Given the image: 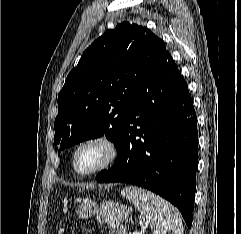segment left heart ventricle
Returning a JSON list of instances; mask_svg holds the SVG:
<instances>
[{"label":"left heart ventricle","mask_w":241,"mask_h":234,"mask_svg":"<svg viewBox=\"0 0 241 234\" xmlns=\"http://www.w3.org/2000/svg\"><path fill=\"white\" fill-rule=\"evenodd\" d=\"M105 157V150L99 145H88L77 156V167L81 171L94 168Z\"/></svg>","instance_id":"obj_1"}]
</instances>
